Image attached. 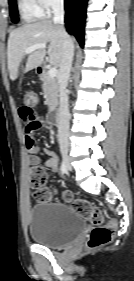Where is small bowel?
<instances>
[{"instance_id":"obj_1","label":"small bowel","mask_w":134,"mask_h":281,"mask_svg":"<svg viewBox=\"0 0 134 281\" xmlns=\"http://www.w3.org/2000/svg\"><path fill=\"white\" fill-rule=\"evenodd\" d=\"M19 115L25 126V145L29 152L28 162L31 168L41 167L42 165L53 173H57L59 170L58 156L49 149L45 150L48 156L45 162H42L41 157L38 155V147L34 142V134L37 130L46 126L44 120L35 114L32 107H28L25 104L19 108Z\"/></svg>"}]
</instances>
